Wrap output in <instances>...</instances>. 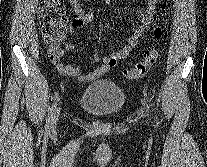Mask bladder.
Instances as JSON below:
<instances>
[{
	"label": "bladder",
	"mask_w": 207,
	"mask_h": 167,
	"mask_svg": "<svg viewBox=\"0 0 207 167\" xmlns=\"http://www.w3.org/2000/svg\"><path fill=\"white\" fill-rule=\"evenodd\" d=\"M80 107L96 117H112L125 105L124 91L110 80H98L87 85L79 100Z\"/></svg>",
	"instance_id": "bladder-1"
}]
</instances>
